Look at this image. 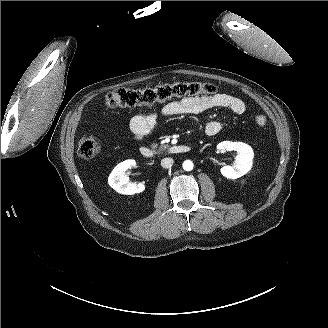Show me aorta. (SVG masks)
<instances>
[{
  "instance_id": "762f6f07",
  "label": "aorta",
  "mask_w": 328,
  "mask_h": 328,
  "mask_svg": "<svg viewBox=\"0 0 328 328\" xmlns=\"http://www.w3.org/2000/svg\"><path fill=\"white\" fill-rule=\"evenodd\" d=\"M182 166L185 171H191L194 167L193 162L191 160H185Z\"/></svg>"
}]
</instances>
